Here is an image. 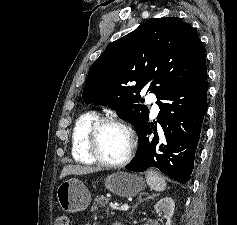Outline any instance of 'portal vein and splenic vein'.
I'll use <instances>...</instances> for the list:
<instances>
[{"label":"portal vein and splenic vein","mask_w":237,"mask_h":225,"mask_svg":"<svg viewBox=\"0 0 237 225\" xmlns=\"http://www.w3.org/2000/svg\"><path fill=\"white\" fill-rule=\"evenodd\" d=\"M110 206L115 209V210H120V211H127L129 209V206L127 204H124L122 206L119 207V205L117 203H110Z\"/></svg>","instance_id":"18ae733b"}]
</instances>
